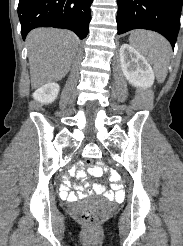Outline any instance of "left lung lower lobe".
Segmentation results:
<instances>
[{
	"label": "left lung lower lobe",
	"mask_w": 183,
	"mask_h": 246,
	"mask_svg": "<svg viewBox=\"0 0 183 246\" xmlns=\"http://www.w3.org/2000/svg\"><path fill=\"white\" fill-rule=\"evenodd\" d=\"M183 0H117L118 34L147 29L162 34L174 48Z\"/></svg>",
	"instance_id": "left-lung-lower-lobe-1"
}]
</instances>
